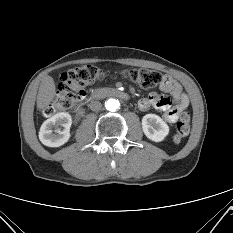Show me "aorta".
Instances as JSON below:
<instances>
[{
  "label": "aorta",
  "mask_w": 233,
  "mask_h": 233,
  "mask_svg": "<svg viewBox=\"0 0 233 233\" xmlns=\"http://www.w3.org/2000/svg\"><path fill=\"white\" fill-rule=\"evenodd\" d=\"M105 106L109 111H116L120 106V102L117 99H108L105 103Z\"/></svg>",
  "instance_id": "aorta-1"
}]
</instances>
